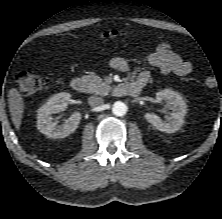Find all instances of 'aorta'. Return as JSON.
Here are the masks:
<instances>
[{"instance_id": "aorta-1", "label": "aorta", "mask_w": 222, "mask_h": 219, "mask_svg": "<svg viewBox=\"0 0 222 219\" xmlns=\"http://www.w3.org/2000/svg\"><path fill=\"white\" fill-rule=\"evenodd\" d=\"M126 111H127V107L121 101L115 102L112 106V112L116 116H123L126 114Z\"/></svg>"}]
</instances>
